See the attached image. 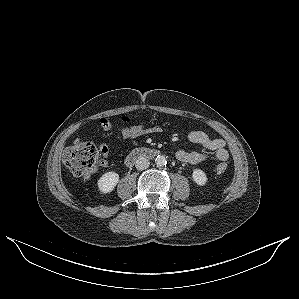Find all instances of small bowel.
I'll list each match as a JSON object with an SVG mask.
<instances>
[{"label": "small bowel", "instance_id": "1", "mask_svg": "<svg viewBox=\"0 0 299 299\" xmlns=\"http://www.w3.org/2000/svg\"><path fill=\"white\" fill-rule=\"evenodd\" d=\"M123 122H129L127 117H122ZM100 124L104 130H110L113 128V124L107 118H101ZM121 136L124 139H134L140 136L158 134L162 132V128L158 125L146 127L142 124H136L131 126L119 127ZM188 138L191 142L201 145L203 148L210 150L214 153V156L219 161H225L229 157V153L226 149V143L221 138H210L205 132L201 130H192L188 134ZM100 150L102 154L107 158L109 153V146L106 142L100 144ZM176 158L188 164H199L206 160L207 156L203 152L186 151L183 149L177 150L175 153ZM103 165H106V159Z\"/></svg>", "mask_w": 299, "mask_h": 299}]
</instances>
